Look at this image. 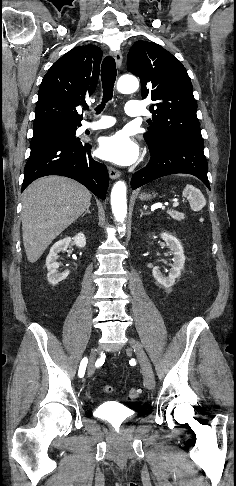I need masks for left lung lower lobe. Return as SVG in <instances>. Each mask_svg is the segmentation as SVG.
<instances>
[{"instance_id": "0a47b994", "label": "left lung lower lobe", "mask_w": 236, "mask_h": 486, "mask_svg": "<svg viewBox=\"0 0 236 486\" xmlns=\"http://www.w3.org/2000/svg\"><path fill=\"white\" fill-rule=\"evenodd\" d=\"M148 146L151 155L150 162L133 175L132 189L157 178L176 173L194 175L210 189L207 177L208 164L203 151L204 143L175 137Z\"/></svg>"}]
</instances>
